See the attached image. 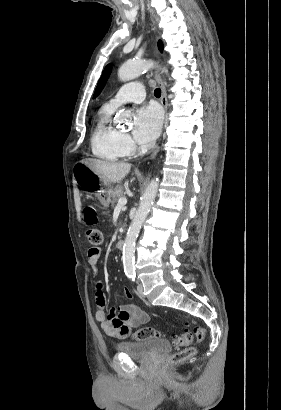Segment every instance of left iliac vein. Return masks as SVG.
<instances>
[{"mask_svg": "<svg viewBox=\"0 0 281 410\" xmlns=\"http://www.w3.org/2000/svg\"><path fill=\"white\" fill-rule=\"evenodd\" d=\"M137 292L141 297H144L143 286H142L141 283H138V285H137Z\"/></svg>", "mask_w": 281, "mask_h": 410, "instance_id": "obj_1", "label": "left iliac vein"}]
</instances>
